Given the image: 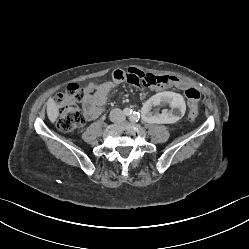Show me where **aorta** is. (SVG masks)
Wrapping results in <instances>:
<instances>
[{"mask_svg":"<svg viewBox=\"0 0 249 249\" xmlns=\"http://www.w3.org/2000/svg\"><path fill=\"white\" fill-rule=\"evenodd\" d=\"M139 117L140 116L137 112L130 113L129 115L130 121H138Z\"/></svg>","mask_w":249,"mask_h":249,"instance_id":"obj_1","label":"aorta"}]
</instances>
